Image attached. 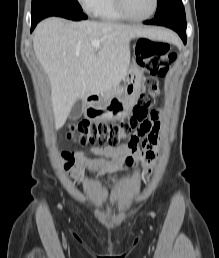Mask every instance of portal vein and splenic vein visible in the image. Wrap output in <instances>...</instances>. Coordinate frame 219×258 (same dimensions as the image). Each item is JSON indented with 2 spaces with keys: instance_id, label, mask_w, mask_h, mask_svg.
Segmentation results:
<instances>
[{
  "instance_id": "18ae733b",
  "label": "portal vein and splenic vein",
  "mask_w": 219,
  "mask_h": 258,
  "mask_svg": "<svg viewBox=\"0 0 219 258\" xmlns=\"http://www.w3.org/2000/svg\"><path fill=\"white\" fill-rule=\"evenodd\" d=\"M91 45L95 48V49H99L100 47V42L95 40L91 42Z\"/></svg>"
}]
</instances>
